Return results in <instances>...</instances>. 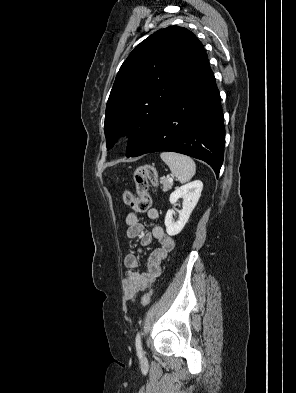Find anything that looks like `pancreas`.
<instances>
[{
  "label": "pancreas",
  "instance_id": "pancreas-1",
  "mask_svg": "<svg viewBox=\"0 0 296 393\" xmlns=\"http://www.w3.org/2000/svg\"><path fill=\"white\" fill-rule=\"evenodd\" d=\"M160 183L162 185L163 191H168L173 186V182H169L168 179L164 177L160 179Z\"/></svg>",
  "mask_w": 296,
  "mask_h": 393
}]
</instances>
